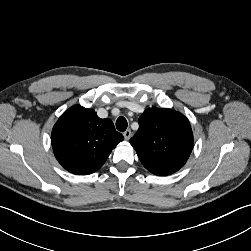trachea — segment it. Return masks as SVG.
<instances>
[{"label": "trachea", "instance_id": "3493384b", "mask_svg": "<svg viewBox=\"0 0 251 251\" xmlns=\"http://www.w3.org/2000/svg\"><path fill=\"white\" fill-rule=\"evenodd\" d=\"M128 123L127 120L123 117L120 116L117 120H116V128L118 131H125L127 129Z\"/></svg>", "mask_w": 251, "mask_h": 251}]
</instances>
